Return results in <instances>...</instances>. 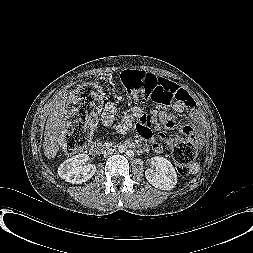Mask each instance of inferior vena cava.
Returning a JSON list of instances; mask_svg holds the SVG:
<instances>
[{"label":"inferior vena cava","instance_id":"obj_1","mask_svg":"<svg viewBox=\"0 0 253 253\" xmlns=\"http://www.w3.org/2000/svg\"><path fill=\"white\" fill-rule=\"evenodd\" d=\"M107 154H108L109 156H112V155L114 154V151H113L112 149H109V150L107 151Z\"/></svg>","mask_w":253,"mask_h":253}]
</instances>
